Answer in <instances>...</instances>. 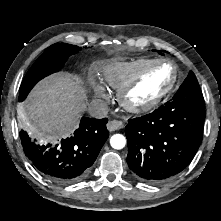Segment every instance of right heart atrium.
<instances>
[{
  "mask_svg": "<svg viewBox=\"0 0 221 221\" xmlns=\"http://www.w3.org/2000/svg\"><path fill=\"white\" fill-rule=\"evenodd\" d=\"M89 85L96 98L100 100H106L108 98L107 89L102 83L97 81H91Z\"/></svg>",
  "mask_w": 221,
  "mask_h": 221,
  "instance_id": "right-heart-atrium-1",
  "label": "right heart atrium"
}]
</instances>
